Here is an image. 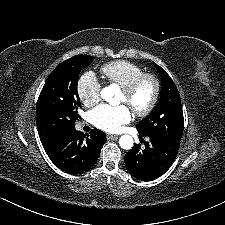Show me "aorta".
Segmentation results:
<instances>
[{"label": "aorta", "instance_id": "aorta-1", "mask_svg": "<svg viewBox=\"0 0 225 225\" xmlns=\"http://www.w3.org/2000/svg\"><path fill=\"white\" fill-rule=\"evenodd\" d=\"M116 93V88L114 85H110L101 90V97L109 102H113V96ZM134 141L130 135H122L119 139V145L122 149L130 150L133 147Z\"/></svg>", "mask_w": 225, "mask_h": 225}]
</instances>
